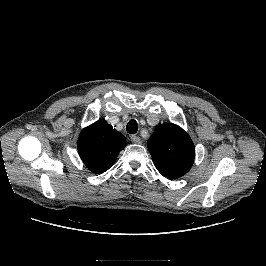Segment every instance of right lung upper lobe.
I'll return each mask as SVG.
<instances>
[{
    "instance_id": "cb5924a9",
    "label": "right lung upper lobe",
    "mask_w": 266,
    "mask_h": 266,
    "mask_svg": "<svg viewBox=\"0 0 266 266\" xmlns=\"http://www.w3.org/2000/svg\"><path fill=\"white\" fill-rule=\"evenodd\" d=\"M125 146V136L104 119L84 128L77 142L82 161L94 173L107 171Z\"/></svg>"
}]
</instances>
